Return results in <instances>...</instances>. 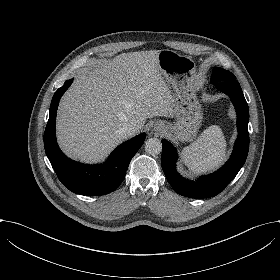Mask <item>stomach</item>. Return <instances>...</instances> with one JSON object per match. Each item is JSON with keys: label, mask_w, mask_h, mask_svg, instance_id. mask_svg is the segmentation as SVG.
Here are the masks:
<instances>
[{"label": "stomach", "mask_w": 280, "mask_h": 280, "mask_svg": "<svg viewBox=\"0 0 280 280\" xmlns=\"http://www.w3.org/2000/svg\"><path fill=\"white\" fill-rule=\"evenodd\" d=\"M157 59L159 71L173 90L175 104L176 122L169 123L167 133L174 140L192 141L203 118L196 95L199 80L196 64L190 56L169 49L160 50Z\"/></svg>", "instance_id": "stomach-1"}]
</instances>
